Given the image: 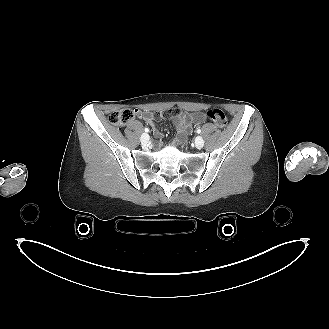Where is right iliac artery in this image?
<instances>
[{
  "label": "right iliac artery",
  "mask_w": 329,
  "mask_h": 329,
  "mask_svg": "<svg viewBox=\"0 0 329 329\" xmlns=\"http://www.w3.org/2000/svg\"><path fill=\"white\" fill-rule=\"evenodd\" d=\"M144 130H145V132H149V129L147 127Z\"/></svg>",
  "instance_id": "right-iliac-artery-1"
}]
</instances>
